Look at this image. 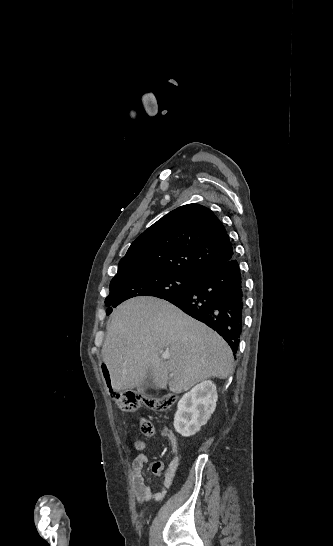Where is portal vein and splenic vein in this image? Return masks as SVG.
<instances>
[{
	"label": "portal vein and splenic vein",
	"instance_id": "18ae733b",
	"mask_svg": "<svg viewBox=\"0 0 333 546\" xmlns=\"http://www.w3.org/2000/svg\"><path fill=\"white\" fill-rule=\"evenodd\" d=\"M169 354L168 353H163L162 354V358L165 359V360H168L169 359Z\"/></svg>",
	"mask_w": 333,
	"mask_h": 546
}]
</instances>
